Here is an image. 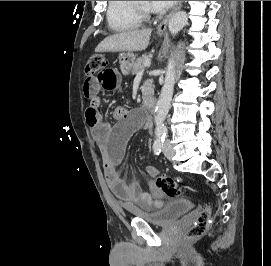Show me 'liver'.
Returning a JSON list of instances; mask_svg holds the SVG:
<instances>
[{"instance_id": "liver-1", "label": "liver", "mask_w": 271, "mask_h": 266, "mask_svg": "<svg viewBox=\"0 0 271 266\" xmlns=\"http://www.w3.org/2000/svg\"><path fill=\"white\" fill-rule=\"evenodd\" d=\"M151 29L130 30L106 37L95 52L142 51L149 45Z\"/></svg>"}]
</instances>
